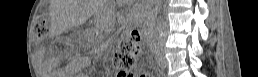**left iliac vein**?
Segmentation results:
<instances>
[{"instance_id": "obj_1", "label": "left iliac vein", "mask_w": 258, "mask_h": 77, "mask_svg": "<svg viewBox=\"0 0 258 77\" xmlns=\"http://www.w3.org/2000/svg\"><path fill=\"white\" fill-rule=\"evenodd\" d=\"M157 58H158L157 63H158L160 68L165 69V68L168 67V61L164 57V55L158 54Z\"/></svg>"}]
</instances>
